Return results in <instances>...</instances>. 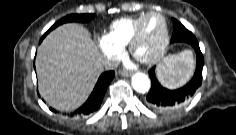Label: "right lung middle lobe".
I'll return each instance as SVG.
<instances>
[{
  "label": "right lung middle lobe",
  "instance_id": "1",
  "mask_svg": "<svg viewBox=\"0 0 236 135\" xmlns=\"http://www.w3.org/2000/svg\"><path fill=\"white\" fill-rule=\"evenodd\" d=\"M95 17V14H71L68 15L64 18H62L61 20L57 21L46 33L48 34L51 30H53L54 28H56L57 26L63 24V23H67V22H88L90 20H92Z\"/></svg>",
  "mask_w": 236,
  "mask_h": 135
}]
</instances>
